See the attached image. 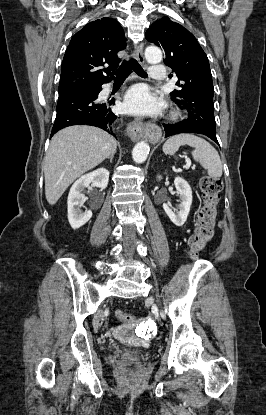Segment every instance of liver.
Wrapping results in <instances>:
<instances>
[{
  "label": "liver",
  "mask_w": 266,
  "mask_h": 415,
  "mask_svg": "<svg viewBox=\"0 0 266 415\" xmlns=\"http://www.w3.org/2000/svg\"><path fill=\"white\" fill-rule=\"evenodd\" d=\"M113 136L97 127L75 125L51 139L44 158L45 195L54 205L77 178L115 154Z\"/></svg>",
  "instance_id": "obj_1"
}]
</instances>
